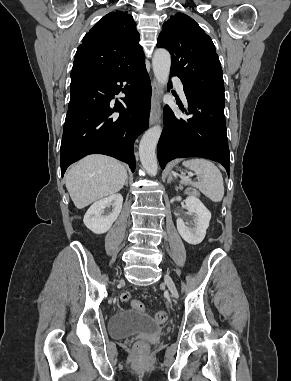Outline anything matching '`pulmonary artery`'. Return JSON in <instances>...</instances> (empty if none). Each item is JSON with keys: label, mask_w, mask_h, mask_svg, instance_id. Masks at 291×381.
<instances>
[{"label": "pulmonary artery", "mask_w": 291, "mask_h": 381, "mask_svg": "<svg viewBox=\"0 0 291 381\" xmlns=\"http://www.w3.org/2000/svg\"><path fill=\"white\" fill-rule=\"evenodd\" d=\"M174 83L177 86V90L180 93V95L184 96V89H183V84L179 78H173Z\"/></svg>", "instance_id": "1"}]
</instances>
